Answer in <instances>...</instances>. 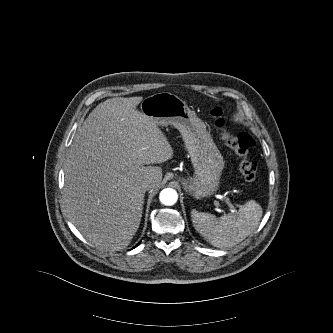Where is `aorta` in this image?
Returning a JSON list of instances; mask_svg holds the SVG:
<instances>
[{
  "instance_id": "aorta-1",
  "label": "aorta",
  "mask_w": 333,
  "mask_h": 333,
  "mask_svg": "<svg viewBox=\"0 0 333 333\" xmlns=\"http://www.w3.org/2000/svg\"><path fill=\"white\" fill-rule=\"evenodd\" d=\"M159 199L162 204L171 206L176 203L178 194L172 188H165L160 192Z\"/></svg>"
}]
</instances>
